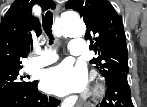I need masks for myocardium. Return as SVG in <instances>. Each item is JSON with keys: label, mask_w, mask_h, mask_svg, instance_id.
Masks as SVG:
<instances>
[{"label": "myocardium", "mask_w": 147, "mask_h": 107, "mask_svg": "<svg viewBox=\"0 0 147 107\" xmlns=\"http://www.w3.org/2000/svg\"><path fill=\"white\" fill-rule=\"evenodd\" d=\"M101 93H102V88H101V86H96L95 88H94V90H93V95L94 96H100L101 95Z\"/></svg>", "instance_id": "obj_1"}]
</instances>
